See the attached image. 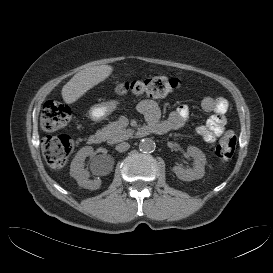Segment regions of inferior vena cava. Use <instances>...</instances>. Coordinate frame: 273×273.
Instances as JSON below:
<instances>
[{"label": "inferior vena cava", "instance_id": "inferior-vena-cava-1", "mask_svg": "<svg viewBox=\"0 0 273 273\" xmlns=\"http://www.w3.org/2000/svg\"><path fill=\"white\" fill-rule=\"evenodd\" d=\"M130 148V145L129 143L127 142H122L120 144H117L115 149L118 151V152H124V151H127L128 149Z\"/></svg>", "mask_w": 273, "mask_h": 273}]
</instances>
